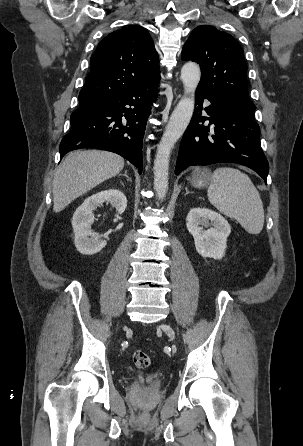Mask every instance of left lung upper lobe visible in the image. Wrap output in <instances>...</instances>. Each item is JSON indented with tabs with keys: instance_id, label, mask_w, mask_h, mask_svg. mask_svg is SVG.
I'll list each match as a JSON object with an SVG mask.
<instances>
[{
	"instance_id": "left-lung-upper-lobe-1",
	"label": "left lung upper lobe",
	"mask_w": 303,
	"mask_h": 446,
	"mask_svg": "<svg viewBox=\"0 0 303 446\" xmlns=\"http://www.w3.org/2000/svg\"><path fill=\"white\" fill-rule=\"evenodd\" d=\"M182 59L200 64L202 77L198 88L222 94L254 116L243 49L233 36L210 25L198 26L183 47Z\"/></svg>"
}]
</instances>
